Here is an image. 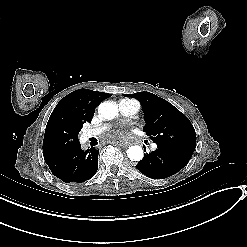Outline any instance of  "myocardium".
<instances>
[{
	"instance_id": "f54148a6",
	"label": "myocardium",
	"mask_w": 247,
	"mask_h": 247,
	"mask_svg": "<svg viewBox=\"0 0 247 247\" xmlns=\"http://www.w3.org/2000/svg\"><path fill=\"white\" fill-rule=\"evenodd\" d=\"M127 118H129V117H127ZM131 121H133L131 118H129ZM134 122V121H133ZM134 124H135V122H134Z\"/></svg>"
}]
</instances>
